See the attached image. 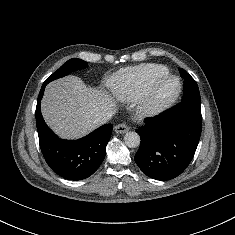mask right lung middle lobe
<instances>
[{
	"label": "right lung middle lobe",
	"mask_w": 235,
	"mask_h": 235,
	"mask_svg": "<svg viewBox=\"0 0 235 235\" xmlns=\"http://www.w3.org/2000/svg\"><path fill=\"white\" fill-rule=\"evenodd\" d=\"M87 66V62L78 59V58H72L64 63L63 66H61L57 71H55L50 77L47 78V80L44 82V84H48L49 82L58 79L60 77H63L67 74H69L71 71H74L78 68H84Z\"/></svg>",
	"instance_id": "dd1d6c3e"
}]
</instances>
